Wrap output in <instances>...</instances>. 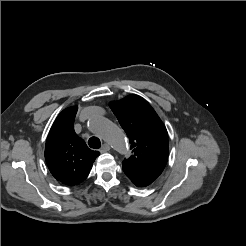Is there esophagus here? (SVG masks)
Here are the masks:
<instances>
[{"instance_id": "1", "label": "esophagus", "mask_w": 246, "mask_h": 246, "mask_svg": "<svg viewBox=\"0 0 246 246\" xmlns=\"http://www.w3.org/2000/svg\"><path fill=\"white\" fill-rule=\"evenodd\" d=\"M109 150H110V146L107 143H105L102 145L100 152L104 153V152H108Z\"/></svg>"}]
</instances>
